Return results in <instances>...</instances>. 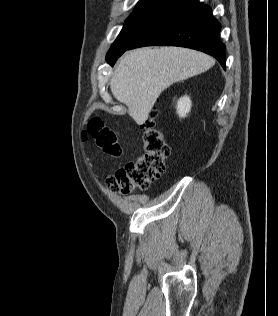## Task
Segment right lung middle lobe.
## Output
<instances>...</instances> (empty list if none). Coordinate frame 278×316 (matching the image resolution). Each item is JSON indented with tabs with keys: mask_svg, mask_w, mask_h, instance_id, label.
<instances>
[{
	"mask_svg": "<svg viewBox=\"0 0 278 316\" xmlns=\"http://www.w3.org/2000/svg\"><path fill=\"white\" fill-rule=\"evenodd\" d=\"M170 0H141L128 17L119 36L109 49V60L131 46L145 30L156 20Z\"/></svg>",
	"mask_w": 278,
	"mask_h": 316,
	"instance_id": "right-lung-middle-lobe-1",
	"label": "right lung middle lobe"
}]
</instances>
